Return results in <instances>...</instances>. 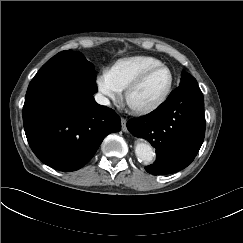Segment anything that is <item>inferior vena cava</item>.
I'll use <instances>...</instances> for the list:
<instances>
[{
  "label": "inferior vena cava",
  "instance_id": "inferior-vena-cava-1",
  "mask_svg": "<svg viewBox=\"0 0 243 243\" xmlns=\"http://www.w3.org/2000/svg\"><path fill=\"white\" fill-rule=\"evenodd\" d=\"M95 100L100 105H105V106L110 105L109 99L107 97H105L104 95L100 94V93L95 95Z\"/></svg>",
  "mask_w": 243,
  "mask_h": 243
}]
</instances>
